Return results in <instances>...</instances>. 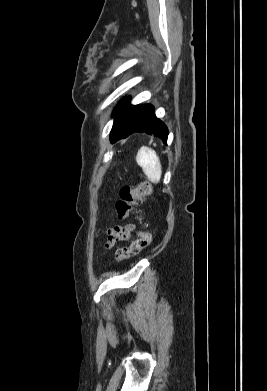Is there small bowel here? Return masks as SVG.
Masks as SVG:
<instances>
[{"mask_svg":"<svg viewBox=\"0 0 267 391\" xmlns=\"http://www.w3.org/2000/svg\"><path fill=\"white\" fill-rule=\"evenodd\" d=\"M134 228L132 224L110 228L107 231L106 247L112 248L116 242L128 240Z\"/></svg>","mask_w":267,"mask_h":391,"instance_id":"1","label":"small bowel"}]
</instances>
